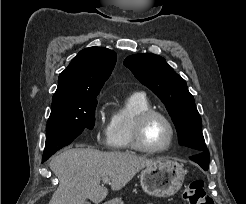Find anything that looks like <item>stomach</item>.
<instances>
[{"mask_svg": "<svg viewBox=\"0 0 246 204\" xmlns=\"http://www.w3.org/2000/svg\"><path fill=\"white\" fill-rule=\"evenodd\" d=\"M185 174L182 164L160 159L141 172L140 184L143 191L150 196L169 197L179 191ZM107 204H123V202L121 198H114Z\"/></svg>", "mask_w": 246, "mask_h": 204, "instance_id": "0dacf381", "label": "stomach"}]
</instances>
